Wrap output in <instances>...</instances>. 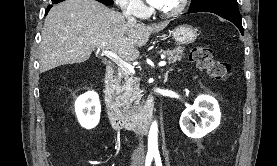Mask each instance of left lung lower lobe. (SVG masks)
Returning a JSON list of instances; mask_svg holds the SVG:
<instances>
[{
  "label": "left lung lower lobe",
  "mask_w": 277,
  "mask_h": 166,
  "mask_svg": "<svg viewBox=\"0 0 277 166\" xmlns=\"http://www.w3.org/2000/svg\"><path fill=\"white\" fill-rule=\"evenodd\" d=\"M196 12H211L214 14L219 15L220 17L231 21L235 24L238 29L240 30L241 34L244 35L241 16L237 6H230V5H223V4H215L204 6L188 13H196Z\"/></svg>",
  "instance_id": "left-lung-lower-lobe-1"
}]
</instances>
